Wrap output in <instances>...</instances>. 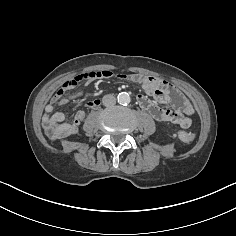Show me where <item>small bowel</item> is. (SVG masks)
<instances>
[{"label":"small bowel","mask_w":236,"mask_h":236,"mask_svg":"<svg viewBox=\"0 0 236 236\" xmlns=\"http://www.w3.org/2000/svg\"><path fill=\"white\" fill-rule=\"evenodd\" d=\"M97 73L99 72H85L67 79L45 106L42 122L44 130L51 140H60L76 134L80 123L85 117V112L78 110L72 114L71 122H65L66 117L63 113H54L55 106L63 105L68 103L69 100L82 97V91L66 97V94L75 89L79 83H89L96 78H111L100 77ZM133 76L134 80L131 82L139 83L145 92V94H139L137 96V102L143 110L147 111L158 122L174 123L184 129L190 127L194 108L191 102L180 91L172 87L167 81L158 77L142 76L140 74H133ZM118 77L122 80L130 81L124 75H119ZM149 96L153 97L159 103H171L174 109L158 106ZM99 104V100H88L85 102V105L91 109L97 108Z\"/></svg>","instance_id":"small-bowel-1"}]
</instances>
